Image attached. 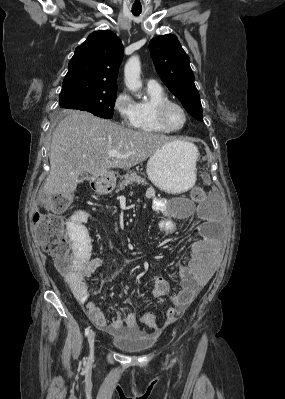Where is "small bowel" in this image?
<instances>
[{
  "instance_id": "1",
  "label": "small bowel",
  "mask_w": 285,
  "mask_h": 399,
  "mask_svg": "<svg viewBox=\"0 0 285 399\" xmlns=\"http://www.w3.org/2000/svg\"><path fill=\"white\" fill-rule=\"evenodd\" d=\"M146 198L152 202L154 209L162 212L165 217L159 222V228L164 235H173L177 230L175 218H189L193 212H182L181 199L177 198L171 204L165 199L156 197L153 189L146 191ZM197 214L203 218L205 224H212L209 217V209L201 208ZM85 215H73L67 221L66 228L68 237L73 245L76 254L75 264L81 271L79 278L68 280L75 296L85 305L86 313L94 325L111 335H121L126 332H136L138 330L137 316L134 312L128 313L124 318L116 316L108 319L102 310L98 308L88 298V290L83 282V278L90 277L91 274L102 265V259L98 257L82 258L78 252L81 239L80 222H84ZM212 229L204 227L201 229L199 239L190 246V261L187 265H179L178 272L181 282V289L171 297L172 304L183 312L192 302L198 292L205 286L212 275L214 267L218 261V247L210 237ZM169 281L165 275H157L154 278L152 294L155 298H160L168 292ZM176 319L168 318L167 325ZM155 333L161 328H150Z\"/></svg>"
}]
</instances>
